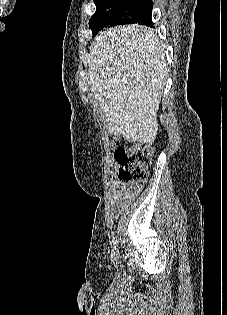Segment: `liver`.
Here are the masks:
<instances>
[{
    "mask_svg": "<svg viewBox=\"0 0 227 315\" xmlns=\"http://www.w3.org/2000/svg\"><path fill=\"white\" fill-rule=\"evenodd\" d=\"M90 55V91L109 132L127 141L153 143L167 77L156 34L138 24L106 28L92 42Z\"/></svg>",
    "mask_w": 227,
    "mask_h": 315,
    "instance_id": "6515ba94",
    "label": "liver"
}]
</instances>
